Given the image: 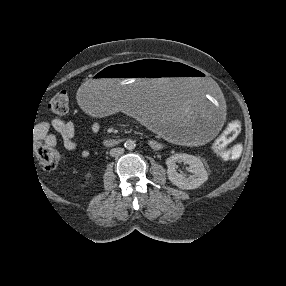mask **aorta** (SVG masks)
Wrapping results in <instances>:
<instances>
[{"mask_svg":"<svg viewBox=\"0 0 286 286\" xmlns=\"http://www.w3.org/2000/svg\"><path fill=\"white\" fill-rule=\"evenodd\" d=\"M125 148L128 149V150H132L135 148L136 144H135V141L132 140V139H128L125 141V144H124Z\"/></svg>","mask_w":286,"mask_h":286,"instance_id":"762f6f07","label":"aorta"}]
</instances>
